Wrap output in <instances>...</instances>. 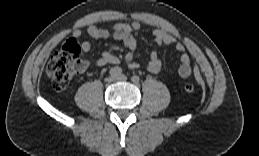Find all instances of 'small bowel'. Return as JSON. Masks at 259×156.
<instances>
[{
    "instance_id": "small-bowel-1",
    "label": "small bowel",
    "mask_w": 259,
    "mask_h": 156,
    "mask_svg": "<svg viewBox=\"0 0 259 156\" xmlns=\"http://www.w3.org/2000/svg\"><path fill=\"white\" fill-rule=\"evenodd\" d=\"M141 25L138 21H131L129 23H116L110 28H101L95 25L88 27L86 34L94 39H107L113 38L120 40L127 47L128 51L125 54V61L130 69H136L139 64L135 61V52L138 49V40L135 37V32L140 29ZM85 33L82 30H75L73 32V38L80 43V47L83 51H89L91 44L84 39ZM155 49L150 53L149 61L146 65V69L151 73H158L162 69V61L158 52V48L175 44V48L181 53L180 66L178 73L181 77H188L192 72L191 58L185 53V46L181 42H176V39L168 31L158 28L153 31ZM119 57L109 51H105L101 57L97 60L98 66H105L108 64H118Z\"/></svg>"
}]
</instances>
